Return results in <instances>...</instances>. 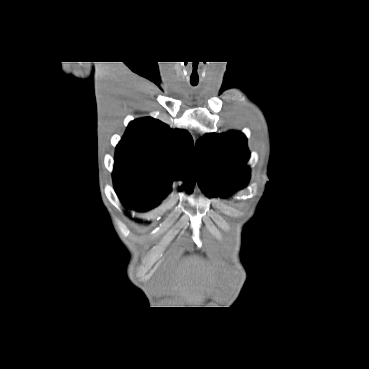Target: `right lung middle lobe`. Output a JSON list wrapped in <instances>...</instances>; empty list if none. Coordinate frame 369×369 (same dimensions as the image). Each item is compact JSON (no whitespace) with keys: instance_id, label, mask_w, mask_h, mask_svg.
<instances>
[{"instance_id":"1","label":"right lung middle lobe","mask_w":369,"mask_h":369,"mask_svg":"<svg viewBox=\"0 0 369 369\" xmlns=\"http://www.w3.org/2000/svg\"><path fill=\"white\" fill-rule=\"evenodd\" d=\"M114 187L124 206L136 211H147L157 206L161 201L156 196L136 192L126 184L116 180H114Z\"/></svg>"}]
</instances>
